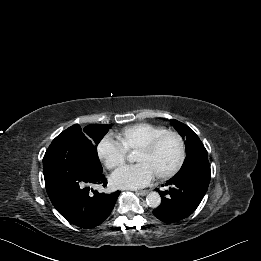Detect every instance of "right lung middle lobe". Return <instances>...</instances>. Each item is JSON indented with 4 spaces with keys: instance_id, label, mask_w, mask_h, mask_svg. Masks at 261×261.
I'll use <instances>...</instances> for the list:
<instances>
[{
    "instance_id": "dd1d6c3e",
    "label": "right lung middle lobe",
    "mask_w": 261,
    "mask_h": 261,
    "mask_svg": "<svg viewBox=\"0 0 261 261\" xmlns=\"http://www.w3.org/2000/svg\"><path fill=\"white\" fill-rule=\"evenodd\" d=\"M111 125H89L83 130L79 125H73L59 134L51 143L43 158V168L59 167L69 160L71 153L75 152L76 144L84 152L89 167L102 171L97 154V144L108 132Z\"/></svg>"
}]
</instances>
